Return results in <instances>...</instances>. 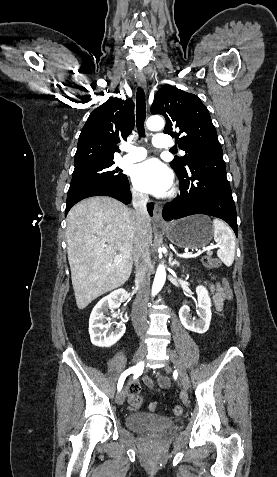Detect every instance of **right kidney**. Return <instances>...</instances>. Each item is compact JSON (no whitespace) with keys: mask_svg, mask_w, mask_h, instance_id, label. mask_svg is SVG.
<instances>
[{"mask_svg":"<svg viewBox=\"0 0 277 477\" xmlns=\"http://www.w3.org/2000/svg\"><path fill=\"white\" fill-rule=\"evenodd\" d=\"M126 294L125 289H117L102 298L93 308L89 319V334L93 345L111 347L125 333L124 320L117 324L116 329L109 331V326L104 323V320L107 319L104 313L110 309L112 317H118L119 313H116L115 310L119 308Z\"/></svg>","mask_w":277,"mask_h":477,"instance_id":"ca27d5eb","label":"right kidney"}]
</instances>
